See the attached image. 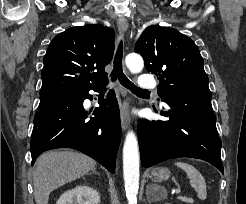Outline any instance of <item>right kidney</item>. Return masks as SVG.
Wrapping results in <instances>:
<instances>
[{"instance_id": "ca27d5eb", "label": "right kidney", "mask_w": 246, "mask_h": 204, "mask_svg": "<svg viewBox=\"0 0 246 204\" xmlns=\"http://www.w3.org/2000/svg\"><path fill=\"white\" fill-rule=\"evenodd\" d=\"M100 195L90 186L80 185L63 193L56 204H99Z\"/></svg>"}]
</instances>
